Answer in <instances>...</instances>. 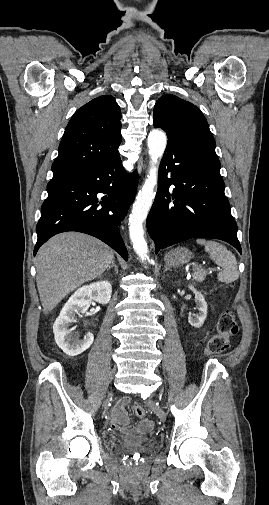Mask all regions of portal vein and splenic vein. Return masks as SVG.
<instances>
[{
  "label": "portal vein and splenic vein",
  "instance_id": "1",
  "mask_svg": "<svg viewBox=\"0 0 269 505\" xmlns=\"http://www.w3.org/2000/svg\"><path fill=\"white\" fill-rule=\"evenodd\" d=\"M201 266H196L193 270H198Z\"/></svg>",
  "mask_w": 269,
  "mask_h": 505
}]
</instances>
